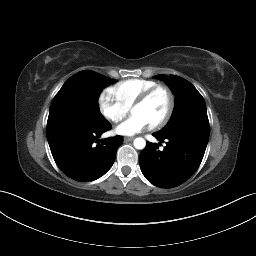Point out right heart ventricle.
Listing matches in <instances>:
<instances>
[{"label":"right heart ventricle","mask_w":256,"mask_h":256,"mask_svg":"<svg viewBox=\"0 0 256 256\" xmlns=\"http://www.w3.org/2000/svg\"><path fill=\"white\" fill-rule=\"evenodd\" d=\"M156 85L158 83L153 80L127 79L109 88L108 93L129 109L143 92Z\"/></svg>","instance_id":"right-heart-ventricle-1"}]
</instances>
